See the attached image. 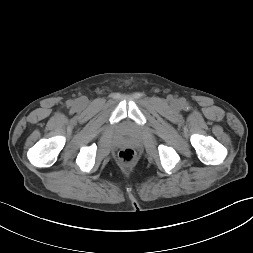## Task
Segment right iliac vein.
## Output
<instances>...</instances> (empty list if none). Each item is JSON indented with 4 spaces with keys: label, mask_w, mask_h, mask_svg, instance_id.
Returning a JSON list of instances; mask_svg holds the SVG:
<instances>
[{
    "label": "right iliac vein",
    "mask_w": 253,
    "mask_h": 253,
    "mask_svg": "<svg viewBox=\"0 0 253 253\" xmlns=\"http://www.w3.org/2000/svg\"><path fill=\"white\" fill-rule=\"evenodd\" d=\"M83 103H84V101H80V102H79V105H83Z\"/></svg>",
    "instance_id": "obj_1"
}]
</instances>
